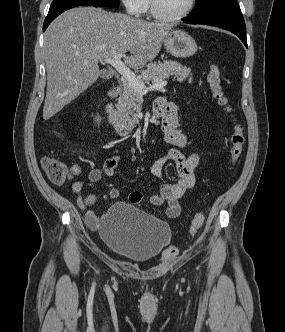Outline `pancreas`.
Returning <instances> with one entry per match:
<instances>
[{"instance_id": "pancreas-1", "label": "pancreas", "mask_w": 285, "mask_h": 332, "mask_svg": "<svg viewBox=\"0 0 285 332\" xmlns=\"http://www.w3.org/2000/svg\"><path fill=\"white\" fill-rule=\"evenodd\" d=\"M169 76H174L179 82L185 81L187 78L189 83L192 82L190 68L170 60L149 63L146 70L141 72L139 80L143 83H148L149 81L155 82L168 78ZM141 103V94L138 93L127 80H124L120 88L118 108L124 120L127 121L131 127L139 123L138 114L136 112L140 110Z\"/></svg>"}]
</instances>
